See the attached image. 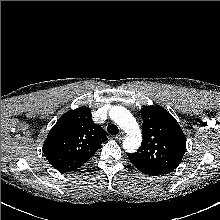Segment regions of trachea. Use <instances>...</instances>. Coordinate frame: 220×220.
I'll use <instances>...</instances> for the list:
<instances>
[{"label": "trachea", "mask_w": 220, "mask_h": 220, "mask_svg": "<svg viewBox=\"0 0 220 220\" xmlns=\"http://www.w3.org/2000/svg\"><path fill=\"white\" fill-rule=\"evenodd\" d=\"M107 131L109 134H112V135H116L119 133V129L116 125L114 124H110L108 127H107Z\"/></svg>", "instance_id": "trachea-1"}]
</instances>
